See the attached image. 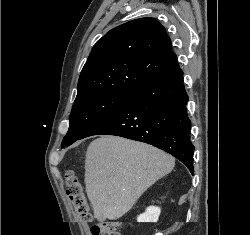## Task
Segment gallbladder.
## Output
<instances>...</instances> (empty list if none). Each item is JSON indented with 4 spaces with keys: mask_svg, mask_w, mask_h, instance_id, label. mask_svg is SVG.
<instances>
[{
    "mask_svg": "<svg viewBox=\"0 0 250 235\" xmlns=\"http://www.w3.org/2000/svg\"><path fill=\"white\" fill-rule=\"evenodd\" d=\"M100 219H101V220H105V217L102 216Z\"/></svg>",
    "mask_w": 250,
    "mask_h": 235,
    "instance_id": "obj_1",
    "label": "gallbladder"
}]
</instances>
